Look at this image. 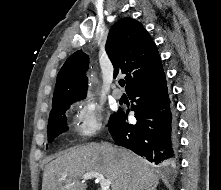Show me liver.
<instances>
[{
  "mask_svg": "<svg viewBox=\"0 0 221 190\" xmlns=\"http://www.w3.org/2000/svg\"><path fill=\"white\" fill-rule=\"evenodd\" d=\"M99 172L111 190H149L159 177L142 157L109 143H88L62 152L44 169L42 190H86L80 178Z\"/></svg>",
  "mask_w": 221,
  "mask_h": 190,
  "instance_id": "6515ba94",
  "label": "liver"
}]
</instances>
